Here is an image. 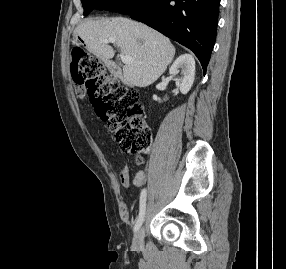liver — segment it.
Listing matches in <instances>:
<instances>
[{
  "instance_id": "1",
  "label": "liver",
  "mask_w": 286,
  "mask_h": 269,
  "mask_svg": "<svg viewBox=\"0 0 286 269\" xmlns=\"http://www.w3.org/2000/svg\"><path fill=\"white\" fill-rule=\"evenodd\" d=\"M75 33L91 53L105 62L112 59L115 52L104 40L115 39L122 53L133 58L123 67V75L137 87L154 83L175 55V48L167 37L127 18L87 20L76 27Z\"/></svg>"
}]
</instances>
